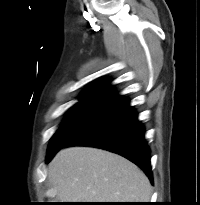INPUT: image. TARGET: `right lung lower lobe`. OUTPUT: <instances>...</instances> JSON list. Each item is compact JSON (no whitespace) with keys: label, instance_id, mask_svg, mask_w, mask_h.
Segmentation results:
<instances>
[{"label":"right lung lower lobe","instance_id":"right-lung-lower-lobe-1","mask_svg":"<svg viewBox=\"0 0 200 205\" xmlns=\"http://www.w3.org/2000/svg\"><path fill=\"white\" fill-rule=\"evenodd\" d=\"M83 145L115 152L138 165L152 182L150 149L144 139V127L127 98H120L98 119L65 145L47 155V162L63 147Z\"/></svg>","mask_w":200,"mask_h":205}]
</instances>
